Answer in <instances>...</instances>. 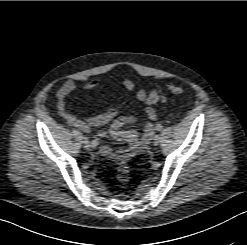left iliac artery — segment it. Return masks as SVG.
Here are the masks:
<instances>
[{
	"mask_svg": "<svg viewBox=\"0 0 247 245\" xmlns=\"http://www.w3.org/2000/svg\"><path fill=\"white\" fill-rule=\"evenodd\" d=\"M155 128H156V130H158V131H159V130H161V129H162V125H161V124H157Z\"/></svg>",
	"mask_w": 247,
	"mask_h": 245,
	"instance_id": "1",
	"label": "left iliac artery"
}]
</instances>
